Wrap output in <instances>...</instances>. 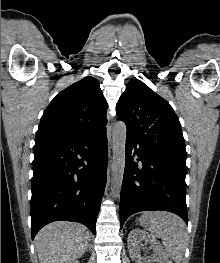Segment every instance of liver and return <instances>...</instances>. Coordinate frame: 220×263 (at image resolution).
<instances>
[{
    "mask_svg": "<svg viewBox=\"0 0 220 263\" xmlns=\"http://www.w3.org/2000/svg\"><path fill=\"white\" fill-rule=\"evenodd\" d=\"M90 239L85 226L72 222H53L35 237L40 263H68L80 258Z\"/></svg>",
    "mask_w": 220,
    "mask_h": 263,
    "instance_id": "obj_1",
    "label": "liver"
}]
</instances>
